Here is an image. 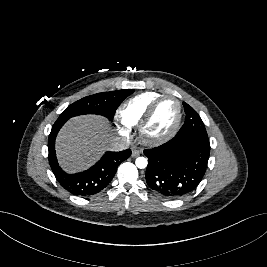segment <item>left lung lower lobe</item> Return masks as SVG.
Here are the masks:
<instances>
[{
    "instance_id": "obj_1",
    "label": "left lung lower lobe",
    "mask_w": 267,
    "mask_h": 267,
    "mask_svg": "<svg viewBox=\"0 0 267 267\" xmlns=\"http://www.w3.org/2000/svg\"><path fill=\"white\" fill-rule=\"evenodd\" d=\"M148 157L146 182L158 194L180 198L196 189L201 182L210 155L208 135L192 133L174 137L152 149Z\"/></svg>"
}]
</instances>
